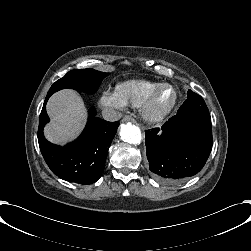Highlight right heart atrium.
I'll return each instance as SVG.
<instances>
[{
  "mask_svg": "<svg viewBox=\"0 0 251 251\" xmlns=\"http://www.w3.org/2000/svg\"><path fill=\"white\" fill-rule=\"evenodd\" d=\"M99 105L102 108L124 110L126 105L116 96L115 93L103 91L99 96Z\"/></svg>",
  "mask_w": 251,
  "mask_h": 251,
  "instance_id": "right-heart-atrium-1",
  "label": "right heart atrium"
}]
</instances>
